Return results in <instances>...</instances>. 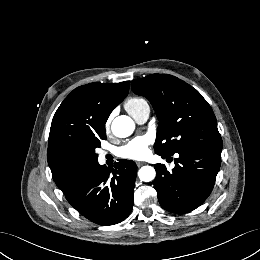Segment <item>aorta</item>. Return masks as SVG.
<instances>
[{
  "mask_svg": "<svg viewBox=\"0 0 260 260\" xmlns=\"http://www.w3.org/2000/svg\"><path fill=\"white\" fill-rule=\"evenodd\" d=\"M135 129L134 121L126 115L116 117L111 125V130L116 137L125 138L130 136ZM156 171L152 166H143L138 171V177L141 181L150 182L154 180Z\"/></svg>",
  "mask_w": 260,
  "mask_h": 260,
  "instance_id": "aorta-1",
  "label": "aorta"
}]
</instances>
